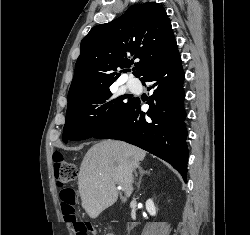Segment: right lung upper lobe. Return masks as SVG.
<instances>
[{
	"instance_id": "cb5924a9",
	"label": "right lung upper lobe",
	"mask_w": 250,
	"mask_h": 235,
	"mask_svg": "<svg viewBox=\"0 0 250 235\" xmlns=\"http://www.w3.org/2000/svg\"><path fill=\"white\" fill-rule=\"evenodd\" d=\"M175 41L165 9L155 2L133 5L121 17L93 27L81 41L68 103L110 86L120 76L117 68L134 59L140 60L134 75L143 77Z\"/></svg>"
}]
</instances>
